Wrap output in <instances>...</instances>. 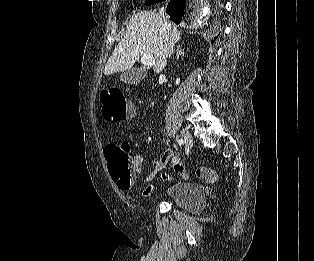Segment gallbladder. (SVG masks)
<instances>
[{
	"label": "gallbladder",
	"mask_w": 314,
	"mask_h": 261,
	"mask_svg": "<svg viewBox=\"0 0 314 261\" xmlns=\"http://www.w3.org/2000/svg\"><path fill=\"white\" fill-rule=\"evenodd\" d=\"M146 75V70L143 68H131L123 71L119 78L122 82L127 84H138Z\"/></svg>",
	"instance_id": "obj_1"
}]
</instances>
